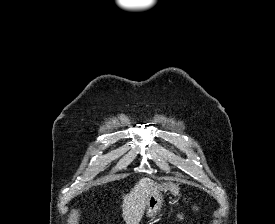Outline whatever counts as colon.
Wrapping results in <instances>:
<instances>
[{
    "label": "colon",
    "instance_id": "1",
    "mask_svg": "<svg viewBox=\"0 0 275 224\" xmlns=\"http://www.w3.org/2000/svg\"><path fill=\"white\" fill-rule=\"evenodd\" d=\"M185 218V215L183 213L179 214L178 219L183 220Z\"/></svg>",
    "mask_w": 275,
    "mask_h": 224
}]
</instances>
